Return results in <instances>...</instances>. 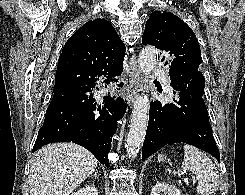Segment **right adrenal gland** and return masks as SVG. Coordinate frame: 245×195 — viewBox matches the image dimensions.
<instances>
[{
	"label": "right adrenal gland",
	"instance_id": "right-adrenal-gland-1",
	"mask_svg": "<svg viewBox=\"0 0 245 195\" xmlns=\"http://www.w3.org/2000/svg\"><path fill=\"white\" fill-rule=\"evenodd\" d=\"M93 176L96 177V178H98L97 172H94V173L92 174L91 178H92Z\"/></svg>",
	"mask_w": 245,
	"mask_h": 195
}]
</instances>
